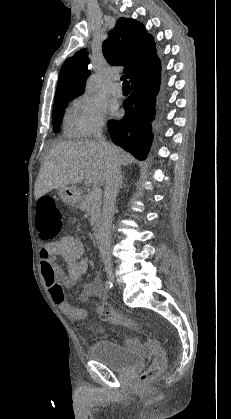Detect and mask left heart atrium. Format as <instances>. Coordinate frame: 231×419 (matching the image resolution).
<instances>
[{
  "mask_svg": "<svg viewBox=\"0 0 231 419\" xmlns=\"http://www.w3.org/2000/svg\"><path fill=\"white\" fill-rule=\"evenodd\" d=\"M111 111H112V112H114V109H113V108H111Z\"/></svg>",
  "mask_w": 231,
  "mask_h": 419,
  "instance_id": "39dd6f15",
  "label": "left heart atrium"
}]
</instances>
